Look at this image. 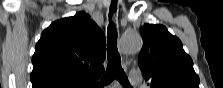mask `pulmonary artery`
<instances>
[{
	"mask_svg": "<svg viewBox=\"0 0 223 88\" xmlns=\"http://www.w3.org/2000/svg\"><path fill=\"white\" fill-rule=\"evenodd\" d=\"M129 81L132 85H138L142 81V75L138 70H132L129 75Z\"/></svg>",
	"mask_w": 223,
	"mask_h": 88,
	"instance_id": "e3ab8cb5",
	"label": "pulmonary artery"
}]
</instances>
